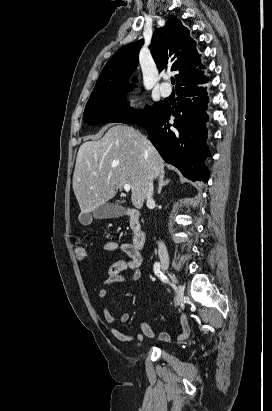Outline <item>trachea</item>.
Listing matches in <instances>:
<instances>
[{"instance_id": "trachea-1", "label": "trachea", "mask_w": 272, "mask_h": 411, "mask_svg": "<svg viewBox=\"0 0 272 411\" xmlns=\"http://www.w3.org/2000/svg\"><path fill=\"white\" fill-rule=\"evenodd\" d=\"M171 83L174 85L175 84V78H171Z\"/></svg>"}]
</instances>
